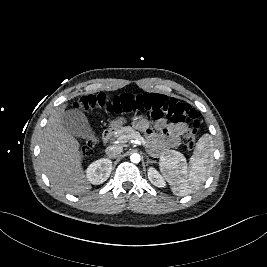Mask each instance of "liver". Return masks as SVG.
Masks as SVG:
<instances>
[{"label": "liver", "mask_w": 267, "mask_h": 267, "mask_svg": "<svg viewBox=\"0 0 267 267\" xmlns=\"http://www.w3.org/2000/svg\"><path fill=\"white\" fill-rule=\"evenodd\" d=\"M67 104L49 117L40 140V164L58 190L79 195L92 187L82 168L80 143L64 128L62 114Z\"/></svg>", "instance_id": "obj_1"}]
</instances>
